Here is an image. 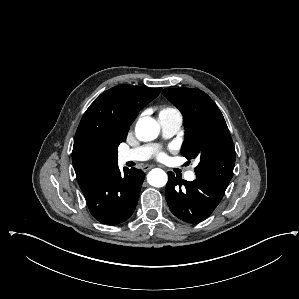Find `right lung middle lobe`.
I'll return each mask as SVG.
<instances>
[{
	"instance_id": "1",
	"label": "right lung middle lobe",
	"mask_w": 299,
	"mask_h": 299,
	"mask_svg": "<svg viewBox=\"0 0 299 299\" xmlns=\"http://www.w3.org/2000/svg\"><path fill=\"white\" fill-rule=\"evenodd\" d=\"M116 160H117V158H116ZM110 166H112V163L109 162V161L104 162L103 165H102L103 169H105V168H107V167H110Z\"/></svg>"
}]
</instances>
